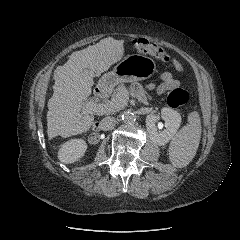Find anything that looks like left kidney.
Listing matches in <instances>:
<instances>
[{"label":"left kidney","instance_id":"1","mask_svg":"<svg viewBox=\"0 0 240 240\" xmlns=\"http://www.w3.org/2000/svg\"><path fill=\"white\" fill-rule=\"evenodd\" d=\"M161 117L165 121L163 131H158L155 123L158 117L154 114H149L146 117V128L152 141L161 146L168 143L176 134L181 124V115L177 111L164 107L161 109Z\"/></svg>","mask_w":240,"mask_h":240}]
</instances>
